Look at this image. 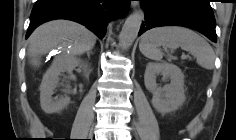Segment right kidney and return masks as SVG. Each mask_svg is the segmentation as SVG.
<instances>
[{
	"instance_id": "right-kidney-1",
	"label": "right kidney",
	"mask_w": 236,
	"mask_h": 140,
	"mask_svg": "<svg viewBox=\"0 0 236 140\" xmlns=\"http://www.w3.org/2000/svg\"><path fill=\"white\" fill-rule=\"evenodd\" d=\"M77 66H82L86 76L89 75L88 65L75 57L59 58L55 60L43 76L40 85V104L45 113L52 114L61 111L70 102V97L52 98L53 91L63 72L71 73Z\"/></svg>"
}]
</instances>
